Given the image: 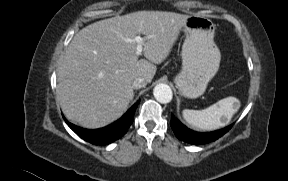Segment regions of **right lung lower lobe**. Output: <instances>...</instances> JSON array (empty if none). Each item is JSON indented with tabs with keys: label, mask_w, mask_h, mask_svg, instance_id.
<instances>
[{
	"label": "right lung lower lobe",
	"mask_w": 288,
	"mask_h": 181,
	"mask_svg": "<svg viewBox=\"0 0 288 181\" xmlns=\"http://www.w3.org/2000/svg\"><path fill=\"white\" fill-rule=\"evenodd\" d=\"M140 101L135 103L119 120L100 129H85L65 118L67 125L83 140L94 145H108L124 136L134 120V113Z\"/></svg>",
	"instance_id": "obj_1"
}]
</instances>
